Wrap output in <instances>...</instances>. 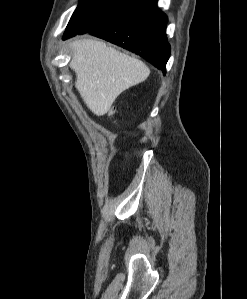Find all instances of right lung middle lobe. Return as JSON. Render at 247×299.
<instances>
[{
	"mask_svg": "<svg viewBox=\"0 0 247 299\" xmlns=\"http://www.w3.org/2000/svg\"><path fill=\"white\" fill-rule=\"evenodd\" d=\"M136 0H81L64 33L65 38L101 27L125 13Z\"/></svg>",
	"mask_w": 247,
	"mask_h": 299,
	"instance_id": "dd1d6c3e",
	"label": "right lung middle lobe"
}]
</instances>
